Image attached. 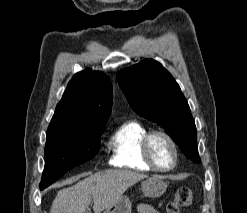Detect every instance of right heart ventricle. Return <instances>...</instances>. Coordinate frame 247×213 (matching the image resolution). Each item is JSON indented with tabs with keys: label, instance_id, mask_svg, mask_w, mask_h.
Returning <instances> with one entry per match:
<instances>
[{
	"label": "right heart ventricle",
	"instance_id": "right-heart-ventricle-1",
	"mask_svg": "<svg viewBox=\"0 0 247 213\" xmlns=\"http://www.w3.org/2000/svg\"><path fill=\"white\" fill-rule=\"evenodd\" d=\"M148 132L142 123L135 120L126 121L118 126L108 143L111 164L135 171H152L141 151L142 140Z\"/></svg>",
	"mask_w": 247,
	"mask_h": 213
}]
</instances>
